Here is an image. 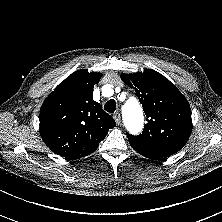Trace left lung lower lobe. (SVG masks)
<instances>
[{
	"label": "left lung lower lobe",
	"instance_id": "obj_1",
	"mask_svg": "<svg viewBox=\"0 0 222 222\" xmlns=\"http://www.w3.org/2000/svg\"><path fill=\"white\" fill-rule=\"evenodd\" d=\"M130 145L135 151L149 159H163L178 152L182 147L179 146H163V145H147L140 142L129 140Z\"/></svg>",
	"mask_w": 222,
	"mask_h": 222
}]
</instances>
